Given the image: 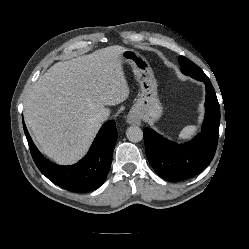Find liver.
<instances>
[{
    "label": "liver",
    "instance_id": "obj_1",
    "mask_svg": "<svg viewBox=\"0 0 249 249\" xmlns=\"http://www.w3.org/2000/svg\"><path fill=\"white\" fill-rule=\"evenodd\" d=\"M110 46L57 62L35 83L24 104L27 126L42 152L58 164H73L89 149L101 121L97 115L129 96L120 53Z\"/></svg>",
    "mask_w": 249,
    "mask_h": 249
}]
</instances>
